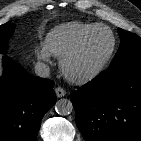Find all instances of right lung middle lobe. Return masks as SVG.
Segmentation results:
<instances>
[{
    "instance_id": "obj_1",
    "label": "right lung middle lobe",
    "mask_w": 141,
    "mask_h": 141,
    "mask_svg": "<svg viewBox=\"0 0 141 141\" xmlns=\"http://www.w3.org/2000/svg\"><path fill=\"white\" fill-rule=\"evenodd\" d=\"M14 27L15 25L10 22L0 25V52H6L7 42L14 32Z\"/></svg>"
}]
</instances>
